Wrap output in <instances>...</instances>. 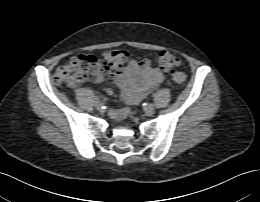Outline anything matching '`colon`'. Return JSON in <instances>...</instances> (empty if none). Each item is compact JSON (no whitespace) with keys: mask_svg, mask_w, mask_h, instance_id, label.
I'll use <instances>...</instances> for the list:
<instances>
[{"mask_svg":"<svg viewBox=\"0 0 260 202\" xmlns=\"http://www.w3.org/2000/svg\"><path fill=\"white\" fill-rule=\"evenodd\" d=\"M126 60L127 52L122 49L109 50L103 58L92 54L78 55L58 67L53 75V81L57 85L75 87L85 82L94 81L109 68L123 67ZM155 61L159 68L170 71L171 78L176 83L186 81V75L175 69L180 64V59L175 54L161 51L157 53Z\"/></svg>","mask_w":260,"mask_h":202,"instance_id":"colon-1","label":"colon"}]
</instances>
